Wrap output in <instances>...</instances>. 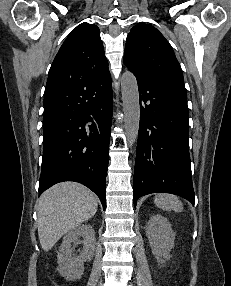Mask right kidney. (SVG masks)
<instances>
[{"label": "right kidney", "mask_w": 231, "mask_h": 286, "mask_svg": "<svg viewBox=\"0 0 231 286\" xmlns=\"http://www.w3.org/2000/svg\"><path fill=\"white\" fill-rule=\"evenodd\" d=\"M79 237L83 238V250L78 256H72L71 244ZM95 246V232L91 225L80 224L71 229L63 238L57 255L60 274L68 281L79 279L84 272V262L93 259Z\"/></svg>", "instance_id": "1"}]
</instances>
